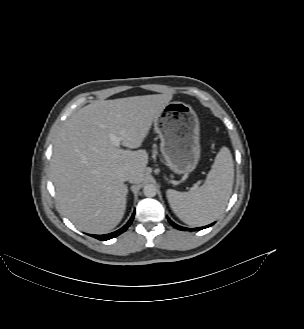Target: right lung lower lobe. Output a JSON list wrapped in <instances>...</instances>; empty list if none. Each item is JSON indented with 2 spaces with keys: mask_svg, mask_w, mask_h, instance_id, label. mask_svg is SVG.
<instances>
[{
  "mask_svg": "<svg viewBox=\"0 0 304 329\" xmlns=\"http://www.w3.org/2000/svg\"><path fill=\"white\" fill-rule=\"evenodd\" d=\"M134 218V214L132 215V217L130 218V220L127 222L126 225H124L122 228H120L119 230L112 232L110 234H105V235H90L98 240L101 241H105V240H109L112 239L114 237H117L118 235H120L121 233H123L124 231H126V229L130 226L132 220Z\"/></svg>",
  "mask_w": 304,
  "mask_h": 329,
  "instance_id": "1",
  "label": "right lung lower lobe"
}]
</instances>
